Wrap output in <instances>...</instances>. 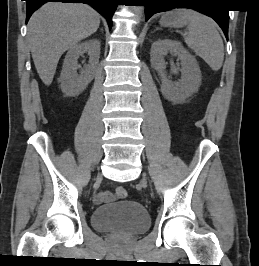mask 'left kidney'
<instances>
[{
    "mask_svg": "<svg viewBox=\"0 0 259 266\" xmlns=\"http://www.w3.org/2000/svg\"><path fill=\"white\" fill-rule=\"evenodd\" d=\"M178 56L181 64V80L173 83L165 74V56ZM151 64L161 78V93L173 103H182L198 91L201 83V71L194 56L176 40L159 39L151 47Z\"/></svg>",
    "mask_w": 259,
    "mask_h": 266,
    "instance_id": "1",
    "label": "left kidney"
}]
</instances>
